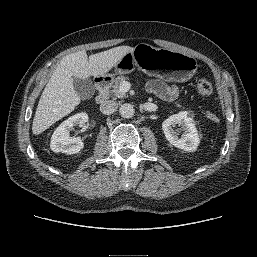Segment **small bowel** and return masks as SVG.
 I'll return each instance as SVG.
<instances>
[{
	"label": "small bowel",
	"instance_id": "small-bowel-1",
	"mask_svg": "<svg viewBox=\"0 0 257 257\" xmlns=\"http://www.w3.org/2000/svg\"><path fill=\"white\" fill-rule=\"evenodd\" d=\"M146 90L158 95L162 99L165 100H174L177 95L178 91L175 86L168 85L159 80H150L146 83Z\"/></svg>",
	"mask_w": 257,
	"mask_h": 257
}]
</instances>
